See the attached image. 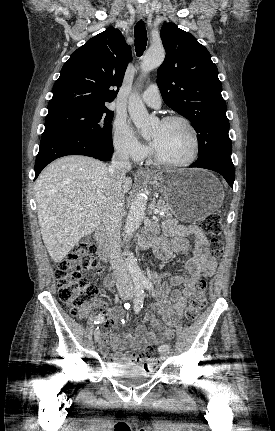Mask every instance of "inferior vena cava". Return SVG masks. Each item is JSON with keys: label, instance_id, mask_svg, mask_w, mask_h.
Wrapping results in <instances>:
<instances>
[{"label": "inferior vena cava", "instance_id": "602c4592", "mask_svg": "<svg viewBox=\"0 0 275 431\" xmlns=\"http://www.w3.org/2000/svg\"><path fill=\"white\" fill-rule=\"evenodd\" d=\"M131 169L129 155L126 151L118 149L114 152L108 172L113 187L109 192L103 213V223L110 248V264L117 279V288L122 290H133L130 276L121 255L120 229L121 212L124 203V194L119 188L120 181L125 178L127 171Z\"/></svg>", "mask_w": 275, "mask_h": 431}]
</instances>
